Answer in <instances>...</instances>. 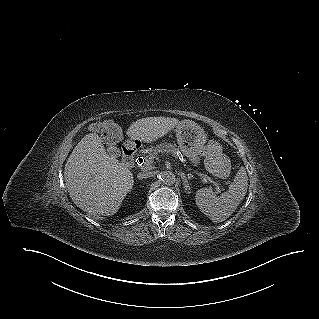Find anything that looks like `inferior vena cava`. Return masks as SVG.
I'll list each match as a JSON object with an SVG mask.
<instances>
[{"label":"inferior vena cava","instance_id":"inferior-vena-cava-1","mask_svg":"<svg viewBox=\"0 0 319 319\" xmlns=\"http://www.w3.org/2000/svg\"><path fill=\"white\" fill-rule=\"evenodd\" d=\"M154 173L152 171H143L138 173L137 177L138 179H146V178H150L153 177Z\"/></svg>","mask_w":319,"mask_h":319}]
</instances>
